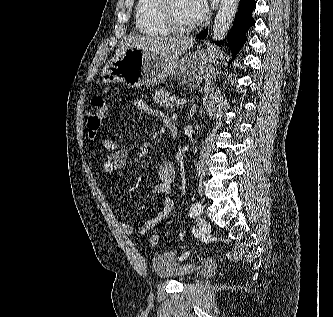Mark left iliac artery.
I'll return each instance as SVG.
<instances>
[{
  "mask_svg": "<svg viewBox=\"0 0 333 317\" xmlns=\"http://www.w3.org/2000/svg\"><path fill=\"white\" fill-rule=\"evenodd\" d=\"M203 210V207L200 203H194L192 204L190 208V217H194L196 215H199ZM188 252H186L183 257H187Z\"/></svg>",
  "mask_w": 333,
  "mask_h": 317,
  "instance_id": "left-iliac-artery-1",
  "label": "left iliac artery"
}]
</instances>
